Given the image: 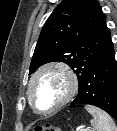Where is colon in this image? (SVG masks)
Returning <instances> with one entry per match:
<instances>
[{
	"instance_id": "colon-1",
	"label": "colon",
	"mask_w": 117,
	"mask_h": 131,
	"mask_svg": "<svg viewBox=\"0 0 117 131\" xmlns=\"http://www.w3.org/2000/svg\"><path fill=\"white\" fill-rule=\"evenodd\" d=\"M32 131H63L59 126L46 124V125H37Z\"/></svg>"
}]
</instances>
